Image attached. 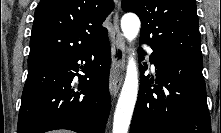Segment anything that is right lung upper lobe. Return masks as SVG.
Wrapping results in <instances>:
<instances>
[{
    "label": "right lung upper lobe",
    "instance_id": "cb5924a9",
    "mask_svg": "<svg viewBox=\"0 0 221 133\" xmlns=\"http://www.w3.org/2000/svg\"><path fill=\"white\" fill-rule=\"evenodd\" d=\"M112 0H41L35 10L28 63L75 54L107 35Z\"/></svg>",
    "mask_w": 221,
    "mask_h": 133
}]
</instances>
